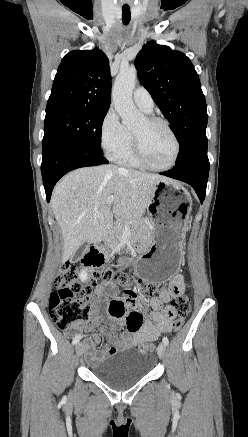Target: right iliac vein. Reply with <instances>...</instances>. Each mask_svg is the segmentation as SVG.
Segmentation results:
<instances>
[{
    "instance_id": "63e3f726",
    "label": "right iliac vein",
    "mask_w": 248,
    "mask_h": 437,
    "mask_svg": "<svg viewBox=\"0 0 248 437\" xmlns=\"http://www.w3.org/2000/svg\"><path fill=\"white\" fill-rule=\"evenodd\" d=\"M75 349H76V354L78 356H81L84 353V351H85V345L83 343H78L76 345Z\"/></svg>"
}]
</instances>
